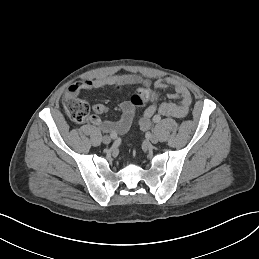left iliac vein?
Returning a JSON list of instances; mask_svg holds the SVG:
<instances>
[{
	"label": "left iliac vein",
	"mask_w": 259,
	"mask_h": 259,
	"mask_svg": "<svg viewBox=\"0 0 259 259\" xmlns=\"http://www.w3.org/2000/svg\"><path fill=\"white\" fill-rule=\"evenodd\" d=\"M158 140H159V138H158V136L156 134H152L150 136L151 143L156 144L158 142Z\"/></svg>",
	"instance_id": "obj_1"
}]
</instances>
